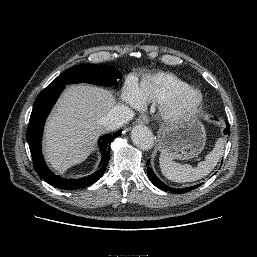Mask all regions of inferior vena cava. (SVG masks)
Instances as JSON below:
<instances>
[{
    "mask_svg": "<svg viewBox=\"0 0 257 257\" xmlns=\"http://www.w3.org/2000/svg\"><path fill=\"white\" fill-rule=\"evenodd\" d=\"M133 116L132 110L124 105L117 104L100 119V123L108 130H114L126 124Z\"/></svg>",
    "mask_w": 257,
    "mask_h": 257,
    "instance_id": "obj_1",
    "label": "inferior vena cava"
}]
</instances>
